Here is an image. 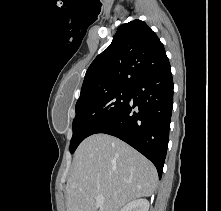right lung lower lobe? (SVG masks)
I'll return each mask as SVG.
<instances>
[{"label":"right lung lower lobe","mask_w":221,"mask_h":211,"mask_svg":"<svg viewBox=\"0 0 221 211\" xmlns=\"http://www.w3.org/2000/svg\"><path fill=\"white\" fill-rule=\"evenodd\" d=\"M130 91L127 104L97 133L118 137L131 145L155 165L161 178L173 107L170 67L143 77Z\"/></svg>","instance_id":"obj_1"}]
</instances>
